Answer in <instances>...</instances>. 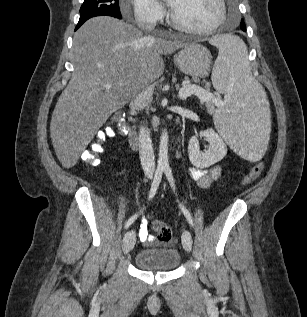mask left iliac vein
Listing matches in <instances>:
<instances>
[{
  "label": "left iliac vein",
  "instance_id": "left-iliac-vein-1",
  "mask_svg": "<svg viewBox=\"0 0 307 317\" xmlns=\"http://www.w3.org/2000/svg\"><path fill=\"white\" fill-rule=\"evenodd\" d=\"M182 244L186 251H191L192 249V235L188 230H185L182 234Z\"/></svg>",
  "mask_w": 307,
  "mask_h": 317
}]
</instances>
